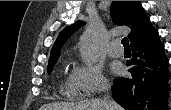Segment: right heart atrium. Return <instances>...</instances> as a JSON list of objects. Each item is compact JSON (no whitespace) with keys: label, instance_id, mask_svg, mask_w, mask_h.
<instances>
[{"label":"right heart atrium","instance_id":"1","mask_svg":"<svg viewBox=\"0 0 171 110\" xmlns=\"http://www.w3.org/2000/svg\"><path fill=\"white\" fill-rule=\"evenodd\" d=\"M72 76L83 96H92L108 86V80L98 65L77 66Z\"/></svg>","mask_w":171,"mask_h":110}]
</instances>
